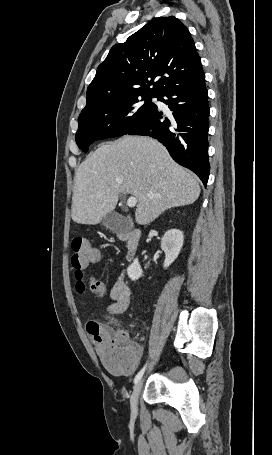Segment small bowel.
Wrapping results in <instances>:
<instances>
[{
  "mask_svg": "<svg viewBox=\"0 0 272 455\" xmlns=\"http://www.w3.org/2000/svg\"><path fill=\"white\" fill-rule=\"evenodd\" d=\"M130 288L126 283L123 276H120L113 284L111 291H110V298L111 303L107 306V311L110 315H120L124 313L130 304ZM117 336L122 337L129 341V334L124 330H120L117 332ZM136 347V357L133 364L130 366L129 369L125 371V374H130L135 367L137 366L141 355L142 349L140 346Z\"/></svg>",
  "mask_w": 272,
  "mask_h": 455,
  "instance_id": "small-bowel-1",
  "label": "small bowel"
}]
</instances>
